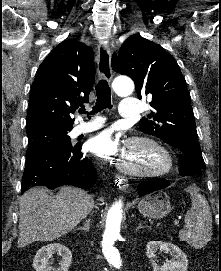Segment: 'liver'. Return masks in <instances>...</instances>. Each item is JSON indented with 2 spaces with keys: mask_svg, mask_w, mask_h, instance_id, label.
Instances as JSON below:
<instances>
[{
  "mask_svg": "<svg viewBox=\"0 0 221 271\" xmlns=\"http://www.w3.org/2000/svg\"><path fill=\"white\" fill-rule=\"evenodd\" d=\"M57 195L46 187H30L20 197L17 247L32 241H53L74 229L94 207V199L79 187L62 185Z\"/></svg>",
  "mask_w": 221,
  "mask_h": 271,
  "instance_id": "liver-1",
  "label": "liver"
}]
</instances>
